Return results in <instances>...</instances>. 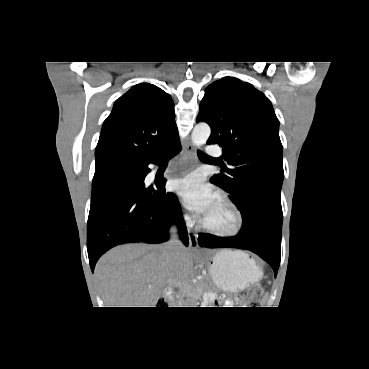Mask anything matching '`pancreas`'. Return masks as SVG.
I'll use <instances>...</instances> for the list:
<instances>
[{
	"label": "pancreas",
	"mask_w": 369,
	"mask_h": 369,
	"mask_svg": "<svg viewBox=\"0 0 369 369\" xmlns=\"http://www.w3.org/2000/svg\"><path fill=\"white\" fill-rule=\"evenodd\" d=\"M202 292H203V287H202V285H198L197 286V288H196V290L193 292V293H191L190 295H187L189 298H193L194 300H196V299H198V298H200L201 297V295H202ZM187 302H190L189 300H187Z\"/></svg>",
	"instance_id": "1"
}]
</instances>
